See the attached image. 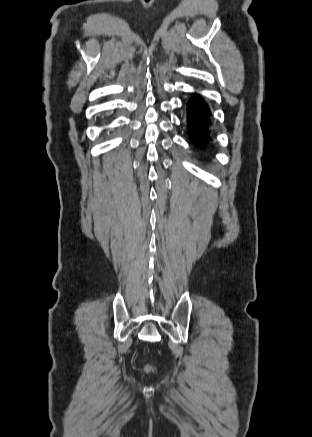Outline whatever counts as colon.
<instances>
[{"label":"colon","instance_id":"5ec220e1","mask_svg":"<svg viewBox=\"0 0 312 437\" xmlns=\"http://www.w3.org/2000/svg\"><path fill=\"white\" fill-rule=\"evenodd\" d=\"M150 369V367L149 366H147V370H149Z\"/></svg>","mask_w":312,"mask_h":437}]
</instances>
